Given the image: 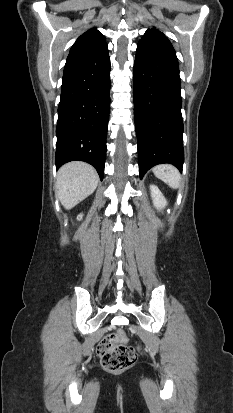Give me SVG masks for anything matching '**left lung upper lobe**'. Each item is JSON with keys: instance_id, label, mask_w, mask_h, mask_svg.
<instances>
[{"instance_id": "5c2ea615", "label": "left lung upper lobe", "mask_w": 233, "mask_h": 413, "mask_svg": "<svg viewBox=\"0 0 233 413\" xmlns=\"http://www.w3.org/2000/svg\"><path fill=\"white\" fill-rule=\"evenodd\" d=\"M153 31H158V30L157 29H149V30L146 31V33L153 32Z\"/></svg>"}]
</instances>
